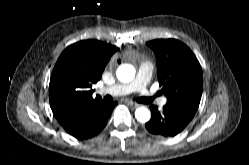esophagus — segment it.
I'll use <instances>...</instances> for the list:
<instances>
[{
    "label": "esophagus",
    "instance_id": "1",
    "mask_svg": "<svg viewBox=\"0 0 249 165\" xmlns=\"http://www.w3.org/2000/svg\"><path fill=\"white\" fill-rule=\"evenodd\" d=\"M128 104H129L132 108H137V107L140 106L138 103L133 102V101H128Z\"/></svg>",
    "mask_w": 249,
    "mask_h": 165
}]
</instances>
